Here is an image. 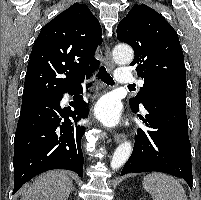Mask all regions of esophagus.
<instances>
[{
	"label": "esophagus",
	"mask_w": 201,
	"mask_h": 200,
	"mask_svg": "<svg viewBox=\"0 0 201 200\" xmlns=\"http://www.w3.org/2000/svg\"><path fill=\"white\" fill-rule=\"evenodd\" d=\"M105 64L109 71H112L115 68V63L112 59L110 47L108 44L105 47ZM125 139H126L125 133L118 132L114 136V141L116 143H120V142L124 141Z\"/></svg>",
	"instance_id": "1"
}]
</instances>
